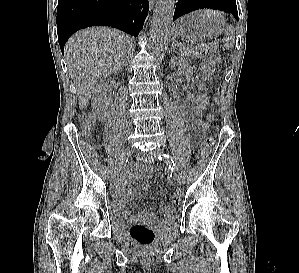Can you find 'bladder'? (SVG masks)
<instances>
[{"label": "bladder", "mask_w": 299, "mask_h": 273, "mask_svg": "<svg viewBox=\"0 0 299 273\" xmlns=\"http://www.w3.org/2000/svg\"><path fill=\"white\" fill-rule=\"evenodd\" d=\"M113 218H114L115 223L117 225H121V226L125 225L126 223H128L132 219L131 216L122 214V213L117 212V211L114 213ZM174 221H175L174 217H171V218L168 219L169 223H173Z\"/></svg>", "instance_id": "bladder-1"}]
</instances>
